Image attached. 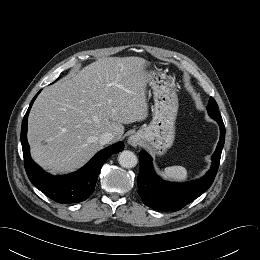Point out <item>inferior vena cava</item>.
Returning a JSON list of instances; mask_svg holds the SVG:
<instances>
[{
    "label": "inferior vena cava",
    "instance_id": "obj_1",
    "mask_svg": "<svg viewBox=\"0 0 260 260\" xmlns=\"http://www.w3.org/2000/svg\"><path fill=\"white\" fill-rule=\"evenodd\" d=\"M113 139H114V135L112 133L105 132L100 136L99 142L101 145H105L111 142Z\"/></svg>",
    "mask_w": 260,
    "mask_h": 260
}]
</instances>
